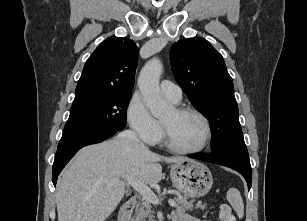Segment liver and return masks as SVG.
Returning a JSON list of instances; mask_svg holds the SVG:
<instances>
[{
	"mask_svg": "<svg viewBox=\"0 0 307 221\" xmlns=\"http://www.w3.org/2000/svg\"><path fill=\"white\" fill-rule=\"evenodd\" d=\"M183 157H163L118 136L82 148L62 171L56 190L58 221H105L125 193V180L144 184L162 178L158 163H178Z\"/></svg>",
	"mask_w": 307,
	"mask_h": 221,
	"instance_id": "liver-1",
	"label": "liver"
}]
</instances>
